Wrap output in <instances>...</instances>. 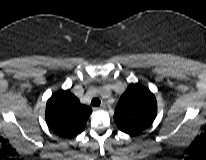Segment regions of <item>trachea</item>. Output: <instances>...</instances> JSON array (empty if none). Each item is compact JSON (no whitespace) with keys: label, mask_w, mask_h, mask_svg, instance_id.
Listing matches in <instances>:
<instances>
[{"label":"trachea","mask_w":206,"mask_h":160,"mask_svg":"<svg viewBox=\"0 0 206 160\" xmlns=\"http://www.w3.org/2000/svg\"><path fill=\"white\" fill-rule=\"evenodd\" d=\"M92 106H99L100 105V100L98 98H93L91 101Z\"/></svg>","instance_id":"trachea-1"}]
</instances>
